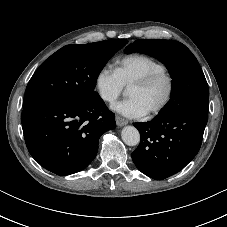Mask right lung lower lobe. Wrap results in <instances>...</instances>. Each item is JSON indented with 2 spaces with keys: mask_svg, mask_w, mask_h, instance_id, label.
<instances>
[{
  "mask_svg": "<svg viewBox=\"0 0 227 227\" xmlns=\"http://www.w3.org/2000/svg\"><path fill=\"white\" fill-rule=\"evenodd\" d=\"M22 128L31 156L57 175L87 167L100 136L115 128V115L100 96L86 101L52 99L23 108Z\"/></svg>",
  "mask_w": 227,
  "mask_h": 227,
  "instance_id": "obj_1",
  "label": "right lung lower lobe"
}]
</instances>
